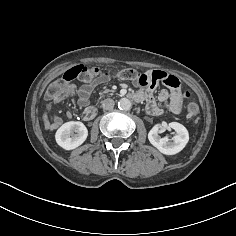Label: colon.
Instances as JSON below:
<instances>
[{
	"mask_svg": "<svg viewBox=\"0 0 236 236\" xmlns=\"http://www.w3.org/2000/svg\"><path fill=\"white\" fill-rule=\"evenodd\" d=\"M99 73V68L95 66L77 65L68 69L62 76V79L58 82L52 84L48 91L47 97L53 102H58L62 98V86L64 84H73L77 81H82L86 83H91L96 75ZM115 76L119 79L130 80L139 77L136 71L132 68H123L116 72ZM141 83L145 84L146 79L144 76L141 77ZM165 84L170 87L178 85L177 80L170 76ZM73 88V87H71ZM188 93L184 92L181 97H187ZM187 115L192 120L194 124H197L200 118V109L196 103H189L186 107Z\"/></svg>",
	"mask_w": 236,
	"mask_h": 236,
	"instance_id": "obj_1",
	"label": "colon"
}]
</instances>
